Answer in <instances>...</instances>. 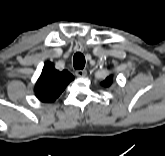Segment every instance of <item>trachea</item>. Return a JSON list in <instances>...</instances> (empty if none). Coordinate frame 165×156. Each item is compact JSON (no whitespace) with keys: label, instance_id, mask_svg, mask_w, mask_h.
<instances>
[{"label":"trachea","instance_id":"1","mask_svg":"<svg viewBox=\"0 0 165 156\" xmlns=\"http://www.w3.org/2000/svg\"><path fill=\"white\" fill-rule=\"evenodd\" d=\"M73 65L75 69H83L85 66V57L82 53L78 52L73 57Z\"/></svg>","mask_w":165,"mask_h":156}]
</instances>
